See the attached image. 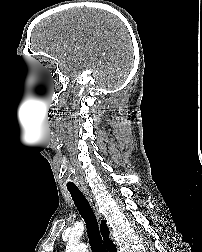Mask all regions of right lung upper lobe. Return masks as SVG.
I'll use <instances>...</instances> for the list:
<instances>
[{"label":"right lung upper lobe","mask_w":202,"mask_h":252,"mask_svg":"<svg viewBox=\"0 0 202 252\" xmlns=\"http://www.w3.org/2000/svg\"><path fill=\"white\" fill-rule=\"evenodd\" d=\"M101 233L104 238L105 246L108 250L116 252V246L109 239V229L104 220L101 221Z\"/></svg>","instance_id":"1"}]
</instances>
